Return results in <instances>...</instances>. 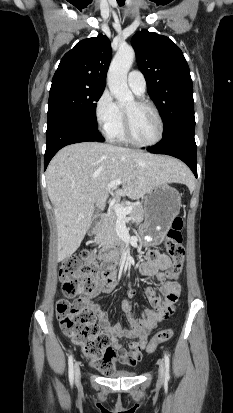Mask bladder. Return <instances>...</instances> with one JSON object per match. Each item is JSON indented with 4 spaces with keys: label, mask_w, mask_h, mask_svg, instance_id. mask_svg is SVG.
Masks as SVG:
<instances>
[{
    "label": "bladder",
    "mask_w": 233,
    "mask_h": 413,
    "mask_svg": "<svg viewBox=\"0 0 233 413\" xmlns=\"http://www.w3.org/2000/svg\"><path fill=\"white\" fill-rule=\"evenodd\" d=\"M137 375L134 371L119 370L109 375L110 378H132Z\"/></svg>",
    "instance_id": "31cf9c89"
}]
</instances>
